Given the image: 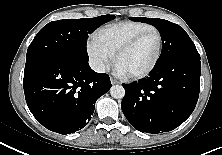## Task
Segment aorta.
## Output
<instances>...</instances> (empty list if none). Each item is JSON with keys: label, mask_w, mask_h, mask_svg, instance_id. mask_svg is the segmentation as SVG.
I'll return each mask as SVG.
<instances>
[{"label": "aorta", "mask_w": 222, "mask_h": 155, "mask_svg": "<svg viewBox=\"0 0 222 155\" xmlns=\"http://www.w3.org/2000/svg\"><path fill=\"white\" fill-rule=\"evenodd\" d=\"M110 94L115 99H122L125 96V89L122 85H113Z\"/></svg>", "instance_id": "aorta-1"}]
</instances>
